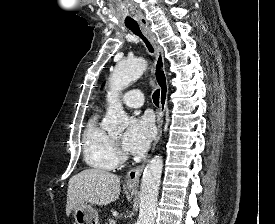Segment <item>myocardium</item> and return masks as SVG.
Segmentation results:
<instances>
[{
    "label": "myocardium",
    "instance_id": "1",
    "mask_svg": "<svg viewBox=\"0 0 275 224\" xmlns=\"http://www.w3.org/2000/svg\"><path fill=\"white\" fill-rule=\"evenodd\" d=\"M113 142H116V139H113ZM117 156L119 161H124L127 158L126 155L121 151H118Z\"/></svg>",
    "mask_w": 275,
    "mask_h": 224
}]
</instances>
